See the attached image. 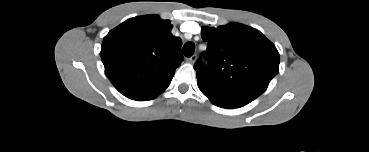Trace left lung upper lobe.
Masks as SVG:
<instances>
[{
    "mask_svg": "<svg viewBox=\"0 0 369 152\" xmlns=\"http://www.w3.org/2000/svg\"><path fill=\"white\" fill-rule=\"evenodd\" d=\"M208 42L194 66L199 84L213 89L257 98L279 71L276 47L258 30L239 23L202 28Z\"/></svg>",
    "mask_w": 369,
    "mask_h": 152,
    "instance_id": "1",
    "label": "left lung upper lobe"
}]
</instances>
